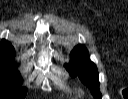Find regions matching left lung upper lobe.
Instances as JSON below:
<instances>
[{
  "instance_id": "5c2ea615",
  "label": "left lung upper lobe",
  "mask_w": 128,
  "mask_h": 99,
  "mask_svg": "<svg viewBox=\"0 0 128 99\" xmlns=\"http://www.w3.org/2000/svg\"><path fill=\"white\" fill-rule=\"evenodd\" d=\"M72 76H78L90 88L95 99H101L99 91L98 71L90 61L88 51L83 45L76 46L71 53V62L65 65Z\"/></svg>"
}]
</instances>
